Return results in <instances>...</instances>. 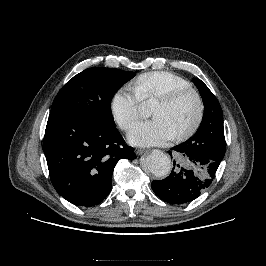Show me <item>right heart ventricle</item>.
<instances>
[{
	"label": "right heart ventricle",
	"mask_w": 266,
	"mask_h": 266,
	"mask_svg": "<svg viewBox=\"0 0 266 266\" xmlns=\"http://www.w3.org/2000/svg\"><path fill=\"white\" fill-rule=\"evenodd\" d=\"M133 88L143 102H151L172 91L190 88V83L169 71H151L139 75Z\"/></svg>",
	"instance_id": "right-heart-ventricle-1"
}]
</instances>
